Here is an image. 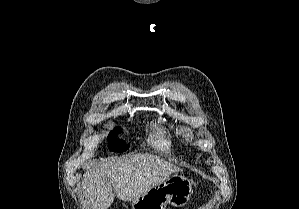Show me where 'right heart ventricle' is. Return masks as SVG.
Here are the masks:
<instances>
[{"instance_id": "right-heart-ventricle-1", "label": "right heart ventricle", "mask_w": 299, "mask_h": 209, "mask_svg": "<svg viewBox=\"0 0 299 209\" xmlns=\"http://www.w3.org/2000/svg\"><path fill=\"white\" fill-rule=\"evenodd\" d=\"M152 145L161 150H169L170 142L164 137V135L160 131H156L151 139Z\"/></svg>"}]
</instances>
